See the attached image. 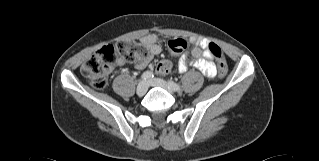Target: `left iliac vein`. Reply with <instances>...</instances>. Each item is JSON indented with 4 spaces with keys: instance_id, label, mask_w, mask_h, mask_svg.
<instances>
[{
    "instance_id": "obj_1",
    "label": "left iliac vein",
    "mask_w": 319,
    "mask_h": 161,
    "mask_svg": "<svg viewBox=\"0 0 319 161\" xmlns=\"http://www.w3.org/2000/svg\"><path fill=\"white\" fill-rule=\"evenodd\" d=\"M149 85L150 86H154V87H161V88H164L165 90H167L169 93L173 94V90L171 89V87L169 86V84L160 79V78H155V79H151L149 81Z\"/></svg>"
}]
</instances>
